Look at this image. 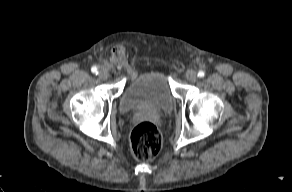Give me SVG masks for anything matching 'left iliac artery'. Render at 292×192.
Instances as JSON below:
<instances>
[{
	"label": "left iliac artery",
	"mask_w": 292,
	"mask_h": 192,
	"mask_svg": "<svg viewBox=\"0 0 292 192\" xmlns=\"http://www.w3.org/2000/svg\"><path fill=\"white\" fill-rule=\"evenodd\" d=\"M205 76V73L203 71L198 72V77L203 78Z\"/></svg>",
	"instance_id": "left-iliac-artery-1"
}]
</instances>
